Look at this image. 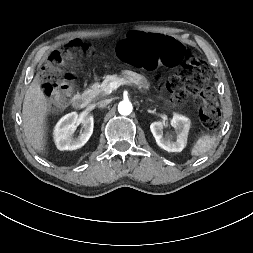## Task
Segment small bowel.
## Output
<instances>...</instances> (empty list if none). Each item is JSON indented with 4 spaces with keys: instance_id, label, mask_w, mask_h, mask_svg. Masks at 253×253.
<instances>
[{
    "instance_id": "1",
    "label": "small bowel",
    "mask_w": 253,
    "mask_h": 253,
    "mask_svg": "<svg viewBox=\"0 0 253 253\" xmlns=\"http://www.w3.org/2000/svg\"><path fill=\"white\" fill-rule=\"evenodd\" d=\"M158 36H159V35H158ZM160 37H162V36H160ZM162 38L164 39V37H162ZM152 67H155V66H150V68H152ZM126 74H127L128 76L137 78L141 83H143V80H142L141 78L137 77L135 73L130 72V71H126Z\"/></svg>"
}]
</instances>
